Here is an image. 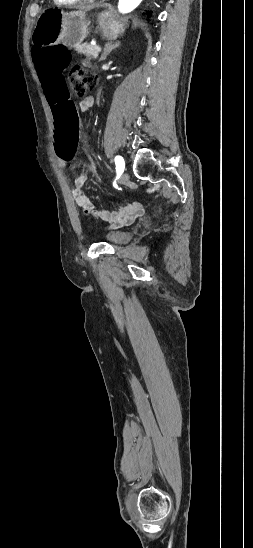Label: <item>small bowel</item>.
I'll list each match as a JSON object with an SVG mask.
<instances>
[{"label": "small bowel", "mask_w": 253, "mask_h": 548, "mask_svg": "<svg viewBox=\"0 0 253 548\" xmlns=\"http://www.w3.org/2000/svg\"><path fill=\"white\" fill-rule=\"evenodd\" d=\"M68 63V62H67ZM47 97V96H45ZM94 97L92 95L86 96L80 103L79 109L81 111H87L94 105ZM51 108V105H50ZM57 129V128H56ZM58 159V163L61 167H66L70 159ZM87 180V175L81 173L77 175L72 183V195L76 204L83 210L86 214H91L97 218H100L112 227H121L128 225L134 221L138 216L143 213V206L138 201H132L125 205H120L113 210H100L97 211L94 209V205L89 199V197L83 191V185Z\"/></svg>", "instance_id": "obj_1"}]
</instances>
